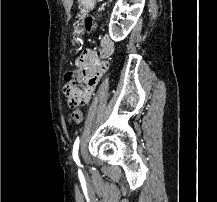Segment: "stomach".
<instances>
[{"instance_id":"stomach-1","label":"stomach","mask_w":217,"mask_h":202,"mask_svg":"<svg viewBox=\"0 0 217 202\" xmlns=\"http://www.w3.org/2000/svg\"><path fill=\"white\" fill-rule=\"evenodd\" d=\"M79 4V10H80V20H84L86 16H88L89 12L93 10L96 0H77ZM84 30L83 28H79V30H75L73 36L74 40H79V36H82Z\"/></svg>"}]
</instances>
